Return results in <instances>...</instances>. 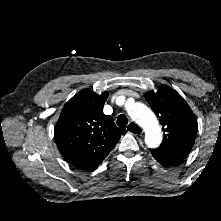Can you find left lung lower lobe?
Wrapping results in <instances>:
<instances>
[{"instance_id":"1","label":"left lung lower lobe","mask_w":221,"mask_h":221,"mask_svg":"<svg viewBox=\"0 0 221 221\" xmlns=\"http://www.w3.org/2000/svg\"><path fill=\"white\" fill-rule=\"evenodd\" d=\"M193 145H183L180 147L175 148H157V149H150L153 157L162 165L169 166L176 164L186 158Z\"/></svg>"}]
</instances>
